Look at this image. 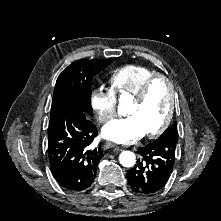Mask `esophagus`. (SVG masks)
<instances>
[{
	"label": "esophagus",
	"mask_w": 221,
	"mask_h": 221,
	"mask_svg": "<svg viewBox=\"0 0 221 221\" xmlns=\"http://www.w3.org/2000/svg\"><path fill=\"white\" fill-rule=\"evenodd\" d=\"M111 148H115V149H119L120 147L112 142H106L104 145H103V149L104 150H108V149H111Z\"/></svg>",
	"instance_id": "esophagus-1"
}]
</instances>
